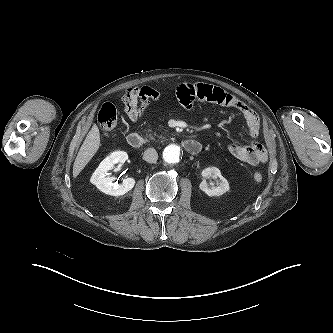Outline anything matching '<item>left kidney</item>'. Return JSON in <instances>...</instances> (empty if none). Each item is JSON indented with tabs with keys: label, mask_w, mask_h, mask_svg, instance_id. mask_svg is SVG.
I'll return each instance as SVG.
<instances>
[{
	"label": "left kidney",
	"mask_w": 333,
	"mask_h": 333,
	"mask_svg": "<svg viewBox=\"0 0 333 333\" xmlns=\"http://www.w3.org/2000/svg\"><path fill=\"white\" fill-rule=\"evenodd\" d=\"M202 176L204 178H209V177H212L214 179L219 178V180H220L219 186H217V187H215V186L209 187L208 184L206 183V180H203L200 183L199 188L208 196H221L224 193H226L227 191H229V189H230L229 183H228L227 179L221 175V172L218 168H216V167L205 168L202 171Z\"/></svg>",
	"instance_id": "1"
}]
</instances>
